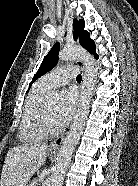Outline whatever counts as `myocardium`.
<instances>
[{
	"label": "myocardium",
	"mask_w": 138,
	"mask_h": 186,
	"mask_svg": "<svg viewBox=\"0 0 138 186\" xmlns=\"http://www.w3.org/2000/svg\"><path fill=\"white\" fill-rule=\"evenodd\" d=\"M35 126L38 129V131L43 135V136H57L62 132V128L58 129H51L49 125L47 124L46 120V103L43 102L41 105L36 119H35Z\"/></svg>",
	"instance_id": "f54148a6"
}]
</instances>
